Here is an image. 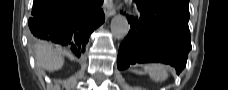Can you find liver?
Listing matches in <instances>:
<instances>
[{
    "label": "liver",
    "instance_id": "liver-1",
    "mask_svg": "<svg viewBox=\"0 0 228 90\" xmlns=\"http://www.w3.org/2000/svg\"><path fill=\"white\" fill-rule=\"evenodd\" d=\"M36 63L48 71L62 68L64 59L54 53L51 45L39 42L35 45Z\"/></svg>",
    "mask_w": 228,
    "mask_h": 90
}]
</instances>
